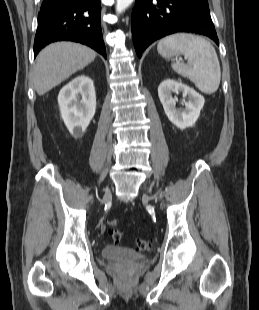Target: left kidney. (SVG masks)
I'll list each match as a JSON object with an SVG mask.
<instances>
[{
	"instance_id": "5707ae66",
	"label": "left kidney",
	"mask_w": 259,
	"mask_h": 310,
	"mask_svg": "<svg viewBox=\"0 0 259 310\" xmlns=\"http://www.w3.org/2000/svg\"><path fill=\"white\" fill-rule=\"evenodd\" d=\"M172 92H182L185 97H188V101L184 100L185 108L183 110L176 108L177 100L172 97ZM158 96L168 119L179 129L194 126L205 102L204 97L193 88L171 79L160 83Z\"/></svg>"
}]
</instances>
